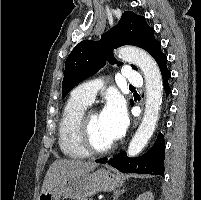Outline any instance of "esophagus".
Segmentation results:
<instances>
[{"instance_id":"esophagus-1","label":"esophagus","mask_w":201,"mask_h":200,"mask_svg":"<svg viewBox=\"0 0 201 200\" xmlns=\"http://www.w3.org/2000/svg\"><path fill=\"white\" fill-rule=\"evenodd\" d=\"M139 121H140V117L135 120V122H134V127L137 126V124L139 123Z\"/></svg>"}]
</instances>
